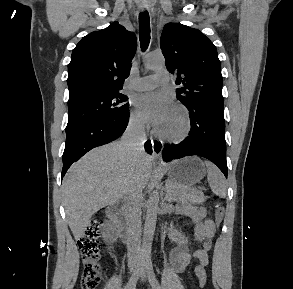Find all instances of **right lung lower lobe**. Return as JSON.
<instances>
[{"label":"right lung lower lobe","mask_w":293,"mask_h":289,"mask_svg":"<svg viewBox=\"0 0 293 289\" xmlns=\"http://www.w3.org/2000/svg\"><path fill=\"white\" fill-rule=\"evenodd\" d=\"M128 121L129 111L91 121L67 131L61 177L63 178L73 162L89 150L120 137L125 131ZM145 149L149 154L152 153L150 142L145 143Z\"/></svg>","instance_id":"98d812e1"}]
</instances>
